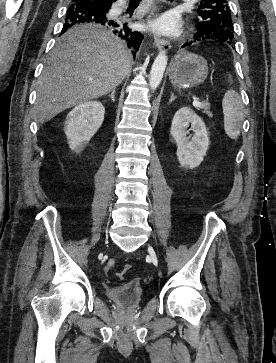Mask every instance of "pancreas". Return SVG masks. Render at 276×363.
<instances>
[{
  "mask_svg": "<svg viewBox=\"0 0 276 363\" xmlns=\"http://www.w3.org/2000/svg\"><path fill=\"white\" fill-rule=\"evenodd\" d=\"M198 109H202V112L204 114H207L209 117H212V112L210 111V104L207 102H203V105L201 107H198Z\"/></svg>",
  "mask_w": 276,
  "mask_h": 363,
  "instance_id": "pancreas-1",
  "label": "pancreas"
}]
</instances>
